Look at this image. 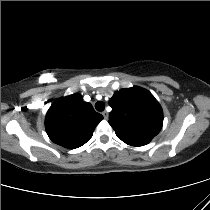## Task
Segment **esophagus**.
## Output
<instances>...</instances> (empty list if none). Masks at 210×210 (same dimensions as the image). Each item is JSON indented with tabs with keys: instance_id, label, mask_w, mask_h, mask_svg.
<instances>
[{
	"instance_id": "1",
	"label": "esophagus",
	"mask_w": 210,
	"mask_h": 210,
	"mask_svg": "<svg viewBox=\"0 0 210 210\" xmlns=\"http://www.w3.org/2000/svg\"><path fill=\"white\" fill-rule=\"evenodd\" d=\"M102 115H103L104 119H108V113L106 111H103Z\"/></svg>"
}]
</instances>
